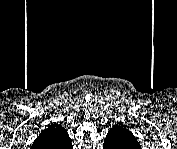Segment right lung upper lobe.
<instances>
[{
  "label": "right lung upper lobe",
  "instance_id": "obj_1",
  "mask_svg": "<svg viewBox=\"0 0 177 149\" xmlns=\"http://www.w3.org/2000/svg\"><path fill=\"white\" fill-rule=\"evenodd\" d=\"M42 138H49L48 142L41 143ZM71 144L66 130L58 124H51L41 132L39 137L34 141L33 146L35 148L44 149H68L67 145Z\"/></svg>",
  "mask_w": 177,
  "mask_h": 149
}]
</instances>
